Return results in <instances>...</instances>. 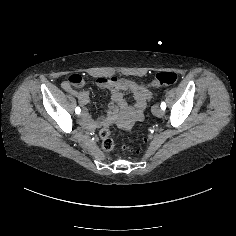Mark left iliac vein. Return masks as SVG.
I'll list each match as a JSON object with an SVG mask.
<instances>
[{"instance_id":"obj_1","label":"left iliac vein","mask_w":236,"mask_h":236,"mask_svg":"<svg viewBox=\"0 0 236 236\" xmlns=\"http://www.w3.org/2000/svg\"><path fill=\"white\" fill-rule=\"evenodd\" d=\"M152 113L157 116V117H160L163 115V110L158 107V106H154L153 109H152Z\"/></svg>"}]
</instances>
